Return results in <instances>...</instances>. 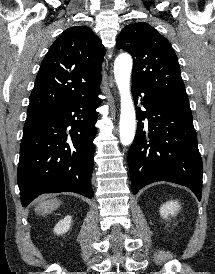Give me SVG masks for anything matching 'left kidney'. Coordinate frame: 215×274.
Returning <instances> with one entry per match:
<instances>
[{
	"label": "left kidney",
	"mask_w": 215,
	"mask_h": 274,
	"mask_svg": "<svg viewBox=\"0 0 215 274\" xmlns=\"http://www.w3.org/2000/svg\"><path fill=\"white\" fill-rule=\"evenodd\" d=\"M180 209V204L177 201H169L160 207V215L167 219L169 215H174Z\"/></svg>",
	"instance_id": "left-kidney-1"
}]
</instances>
